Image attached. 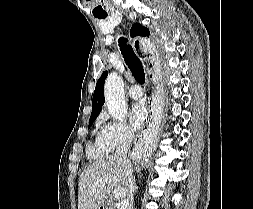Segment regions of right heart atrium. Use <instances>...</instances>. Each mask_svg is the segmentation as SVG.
Listing matches in <instances>:
<instances>
[{
    "label": "right heart atrium",
    "mask_w": 253,
    "mask_h": 209,
    "mask_svg": "<svg viewBox=\"0 0 253 209\" xmlns=\"http://www.w3.org/2000/svg\"><path fill=\"white\" fill-rule=\"evenodd\" d=\"M133 137L132 129L124 121L110 120L106 115L102 116L98 138L108 150L131 143Z\"/></svg>",
    "instance_id": "right-heart-atrium-1"
}]
</instances>
